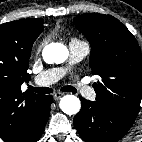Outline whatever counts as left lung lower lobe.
Listing matches in <instances>:
<instances>
[{
  "instance_id": "1",
  "label": "left lung lower lobe",
  "mask_w": 142,
  "mask_h": 142,
  "mask_svg": "<svg viewBox=\"0 0 142 142\" xmlns=\"http://www.w3.org/2000/svg\"><path fill=\"white\" fill-rule=\"evenodd\" d=\"M82 108L75 115L74 124L86 142H117L134 121L126 119L107 106L80 97Z\"/></svg>"
}]
</instances>
